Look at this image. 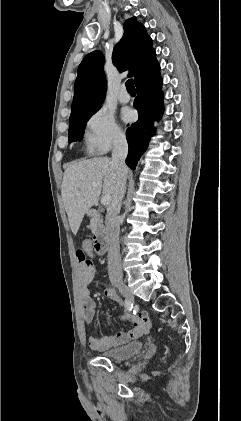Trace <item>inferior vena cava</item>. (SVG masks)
<instances>
[{"instance_id":"1","label":"inferior vena cava","mask_w":241,"mask_h":421,"mask_svg":"<svg viewBox=\"0 0 241 421\" xmlns=\"http://www.w3.org/2000/svg\"><path fill=\"white\" fill-rule=\"evenodd\" d=\"M128 153V143L124 136L119 137L113 146L112 163L118 173L116 189L113 193L112 202L107 209L106 233L108 240V273L110 277H122L121 257L119 247L120 223L118 214L121 209L122 200L126 192V179L128 168L125 159Z\"/></svg>"}]
</instances>
